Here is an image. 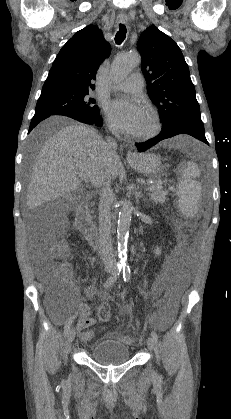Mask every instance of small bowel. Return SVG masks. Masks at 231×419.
<instances>
[{
  "mask_svg": "<svg viewBox=\"0 0 231 419\" xmlns=\"http://www.w3.org/2000/svg\"><path fill=\"white\" fill-rule=\"evenodd\" d=\"M177 254L173 253L166 259V264L163 267L162 272L159 275L157 281V291L158 292H166V299L165 302L168 305V315L169 317L173 316L176 311L177 304H178V291L173 282L169 281L167 277V271L171 267L172 262L176 259ZM82 294H86L83 292ZM101 300H104L108 297V294L104 291L101 292L98 296ZM105 304H101L100 307L104 306ZM99 307V308H100ZM123 314L129 315L132 312V305L128 303H123ZM77 310L79 311L80 317L77 321V329L81 333V336L84 340L89 341L91 340L93 334L91 331L87 330L89 327L94 325L95 320L89 316L90 310L87 304L83 302H79L77 304Z\"/></svg>",
  "mask_w": 231,
  "mask_h": 419,
  "instance_id": "c3829d8e",
  "label": "small bowel"
}]
</instances>
